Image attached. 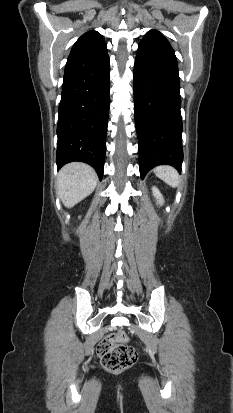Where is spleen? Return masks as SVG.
<instances>
[{"instance_id":"obj_1","label":"spleen","mask_w":233,"mask_h":413,"mask_svg":"<svg viewBox=\"0 0 233 413\" xmlns=\"http://www.w3.org/2000/svg\"><path fill=\"white\" fill-rule=\"evenodd\" d=\"M154 173L158 178L173 188L177 187L179 184V174L172 166H158L154 169Z\"/></svg>"}]
</instances>
